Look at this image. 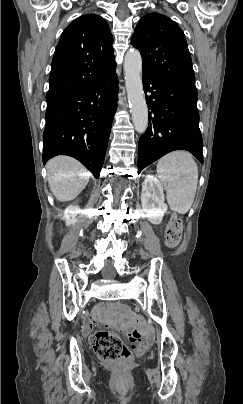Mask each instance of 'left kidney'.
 Here are the masks:
<instances>
[{"label": "left kidney", "mask_w": 243, "mask_h": 404, "mask_svg": "<svg viewBox=\"0 0 243 404\" xmlns=\"http://www.w3.org/2000/svg\"><path fill=\"white\" fill-rule=\"evenodd\" d=\"M163 186L155 176H146L142 182L141 204L146 218L151 224H161L164 214L168 210L164 204Z\"/></svg>", "instance_id": "obj_1"}]
</instances>
